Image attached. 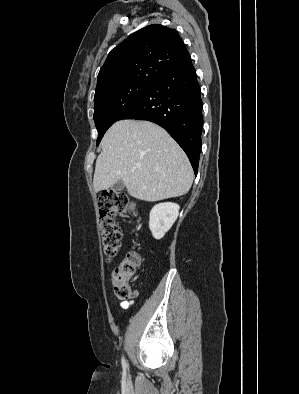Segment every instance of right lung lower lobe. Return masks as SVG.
I'll use <instances>...</instances> for the list:
<instances>
[{
	"label": "right lung lower lobe",
	"instance_id": "obj_1",
	"mask_svg": "<svg viewBox=\"0 0 299 394\" xmlns=\"http://www.w3.org/2000/svg\"><path fill=\"white\" fill-rule=\"evenodd\" d=\"M122 119L148 120L163 127L185 151L197 174L203 117L190 55L158 76Z\"/></svg>",
	"mask_w": 299,
	"mask_h": 394
}]
</instances>
